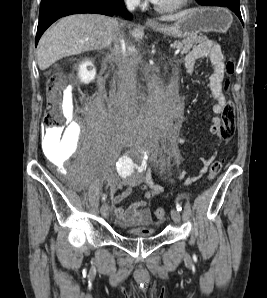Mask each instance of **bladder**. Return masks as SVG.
<instances>
[{
	"instance_id": "obj_1",
	"label": "bladder",
	"mask_w": 267,
	"mask_h": 298,
	"mask_svg": "<svg viewBox=\"0 0 267 298\" xmlns=\"http://www.w3.org/2000/svg\"><path fill=\"white\" fill-rule=\"evenodd\" d=\"M124 235H125V236H128V237L147 238V237H151V236H153V235H154V231H151V232L148 233V234L138 235V234L134 233V232L131 231V230H125V231H124Z\"/></svg>"
}]
</instances>
